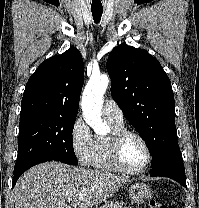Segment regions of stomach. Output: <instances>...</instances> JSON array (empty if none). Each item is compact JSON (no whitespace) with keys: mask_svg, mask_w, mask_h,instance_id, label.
Instances as JSON below:
<instances>
[{"mask_svg":"<svg viewBox=\"0 0 199 208\" xmlns=\"http://www.w3.org/2000/svg\"><path fill=\"white\" fill-rule=\"evenodd\" d=\"M129 196L134 203H144L152 196L149 186L144 183H134L129 187Z\"/></svg>","mask_w":199,"mask_h":208,"instance_id":"1","label":"stomach"}]
</instances>
